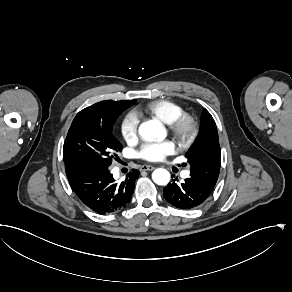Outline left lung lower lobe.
I'll use <instances>...</instances> for the list:
<instances>
[{"label":"left lung lower lobe","instance_id":"obj_1","mask_svg":"<svg viewBox=\"0 0 292 292\" xmlns=\"http://www.w3.org/2000/svg\"><path fill=\"white\" fill-rule=\"evenodd\" d=\"M175 181L163 189V195L168 203L178 209L187 210L201 205L214 189V186L192 178L185 179L179 185Z\"/></svg>","mask_w":292,"mask_h":292}]
</instances>
